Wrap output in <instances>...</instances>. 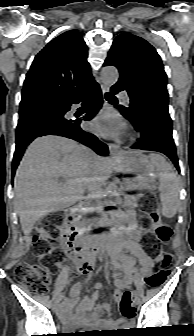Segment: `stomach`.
I'll list each match as a JSON object with an SVG mask.
<instances>
[{"instance_id":"stomach-1","label":"stomach","mask_w":194,"mask_h":336,"mask_svg":"<svg viewBox=\"0 0 194 336\" xmlns=\"http://www.w3.org/2000/svg\"><path fill=\"white\" fill-rule=\"evenodd\" d=\"M121 165V170L128 174H135L136 182L143 184V188L149 187L156 180L155 166L144 155L138 152H126L116 158Z\"/></svg>"}]
</instances>
